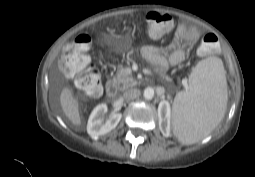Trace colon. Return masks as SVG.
Listing matches in <instances>:
<instances>
[{"instance_id":"colon-1","label":"colon","mask_w":255,"mask_h":177,"mask_svg":"<svg viewBox=\"0 0 255 177\" xmlns=\"http://www.w3.org/2000/svg\"><path fill=\"white\" fill-rule=\"evenodd\" d=\"M147 32L153 39H158L167 33L173 26V17L170 14L150 10L145 15ZM218 38L214 34H207L201 41V52H212L216 49ZM91 39L82 34L70 41L64 48L63 55L59 61L61 71L67 76L75 79L78 89L85 92L89 97H96L101 92L100 74L91 65L88 54Z\"/></svg>"}]
</instances>
